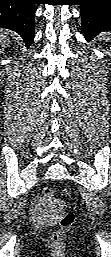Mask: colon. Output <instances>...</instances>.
<instances>
[{
  "label": "colon",
  "instance_id": "1",
  "mask_svg": "<svg viewBox=\"0 0 111 257\" xmlns=\"http://www.w3.org/2000/svg\"><path fill=\"white\" fill-rule=\"evenodd\" d=\"M42 198L51 206V209L58 211L59 229L52 235V241L58 244L62 242L66 233L73 226L75 214L70 209L62 207V205L55 200V192L50 188L43 189Z\"/></svg>",
  "mask_w": 111,
  "mask_h": 257
}]
</instances>
